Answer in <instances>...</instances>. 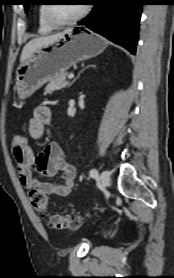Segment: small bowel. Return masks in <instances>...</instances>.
<instances>
[{
    "mask_svg": "<svg viewBox=\"0 0 174 278\" xmlns=\"http://www.w3.org/2000/svg\"><path fill=\"white\" fill-rule=\"evenodd\" d=\"M51 119L52 112L48 106H37L28 124L30 137L35 140L40 139ZM13 154L17 162L20 182L30 191L38 190L57 198H64L72 193L77 172L75 167L65 160L64 152L58 143H49L38 154L29 142L21 147L13 145ZM35 169L48 177L61 173L62 183L55 184L38 180L33 173Z\"/></svg>",
    "mask_w": 174,
    "mask_h": 278,
    "instance_id": "c3829d8e",
    "label": "small bowel"
}]
</instances>
